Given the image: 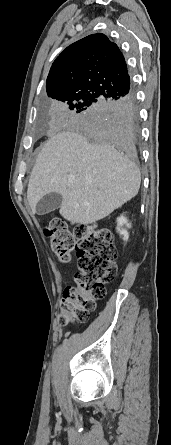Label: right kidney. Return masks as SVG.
Returning <instances> with one entry per match:
<instances>
[{
  "label": "right kidney",
  "mask_w": 171,
  "mask_h": 445,
  "mask_svg": "<svg viewBox=\"0 0 171 445\" xmlns=\"http://www.w3.org/2000/svg\"><path fill=\"white\" fill-rule=\"evenodd\" d=\"M126 226V228L131 227V223L128 222L127 218L124 215H121L117 218V232L120 235H123V240L127 241L129 238V233L126 228H123V226Z\"/></svg>",
  "instance_id": "right-kidney-1"
}]
</instances>
